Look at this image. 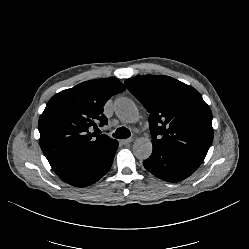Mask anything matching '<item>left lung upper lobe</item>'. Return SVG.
Listing matches in <instances>:
<instances>
[{
	"mask_svg": "<svg viewBox=\"0 0 249 249\" xmlns=\"http://www.w3.org/2000/svg\"><path fill=\"white\" fill-rule=\"evenodd\" d=\"M125 85L150 113L154 144L205 158L214 136L212 112L198 91L164 75L136 76Z\"/></svg>",
	"mask_w": 249,
	"mask_h": 249,
	"instance_id": "obj_1",
	"label": "left lung upper lobe"
}]
</instances>
